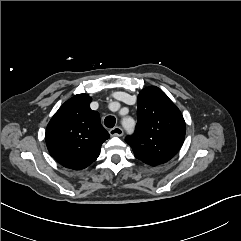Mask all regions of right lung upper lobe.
<instances>
[{
    "label": "right lung upper lobe",
    "mask_w": 241,
    "mask_h": 241,
    "mask_svg": "<svg viewBox=\"0 0 241 241\" xmlns=\"http://www.w3.org/2000/svg\"><path fill=\"white\" fill-rule=\"evenodd\" d=\"M92 99L77 94L54 114L46 129L48 151L62 166L81 170L99 156L102 143L110 137L91 110Z\"/></svg>",
    "instance_id": "cb5924a9"
}]
</instances>
